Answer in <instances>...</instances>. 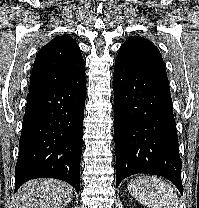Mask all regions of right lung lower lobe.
<instances>
[{
	"label": "right lung lower lobe",
	"instance_id": "1",
	"mask_svg": "<svg viewBox=\"0 0 199 208\" xmlns=\"http://www.w3.org/2000/svg\"><path fill=\"white\" fill-rule=\"evenodd\" d=\"M85 96V76L29 92L15 168V192L30 179L51 177L68 182L79 193Z\"/></svg>",
	"mask_w": 199,
	"mask_h": 208
}]
</instances>
